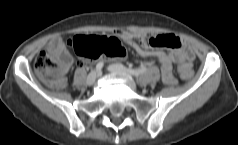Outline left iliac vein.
<instances>
[{"mask_svg":"<svg viewBox=\"0 0 238 145\" xmlns=\"http://www.w3.org/2000/svg\"><path fill=\"white\" fill-rule=\"evenodd\" d=\"M108 70L114 74H122L126 77V79L130 82L132 86L138 85V81H136L129 71L121 64H111L108 66Z\"/></svg>","mask_w":238,"mask_h":145,"instance_id":"obj_1","label":"left iliac vein"}]
</instances>
